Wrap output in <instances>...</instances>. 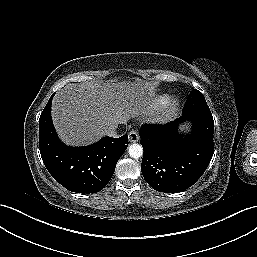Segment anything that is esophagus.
I'll return each instance as SVG.
<instances>
[{
  "label": "esophagus",
  "mask_w": 257,
  "mask_h": 257,
  "mask_svg": "<svg viewBox=\"0 0 257 257\" xmlns=\"http://www.w3.org/2000/svg\"><path fill=\"white\" fill-rule=\"evenodd\" d=\"M128 137L131 143H135L139 141V134L136 130H131L128 134Z\"/></svg>",
  "instance_id": "obj_1"
}]
</instances>
